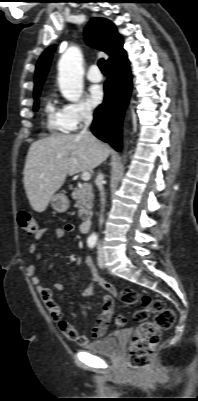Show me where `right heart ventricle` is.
Segmentation results:
<instances>
[{"label": "right heart ventricle", "mask_w": 198, "mask_h": 401, "mask_svg": "<svg viewBox=\"0 0 198 401\" xmlns=\"http://www.w3.org/2000/svg\"><path fill=\"white\" fill-rule=\"evenodd\" d=\"M45 115L47 120V127L54 133H68L70 129L65 124L61 110L58 109L52 100L48 99L45 102Z\"/></svg>", "instance_id": "obj_1"}]
</instances>
